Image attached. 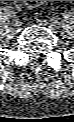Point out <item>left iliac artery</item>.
Returning a JSON list of instances; mask_svg holds the SVG:
<instances>
[{
  "label": "left iliac artery",
  "mask_w": 74,
  "mask_h": 122,
  "mask_svg": "<svg viewBox=\"0 0 74 122\" xmlns=\"http://www.w3.org/2000/svg\"><path fill=\"white\" fill-rule=\"evenodd\" d=\"M54 23H56L58 25V27H59V25H60L61 22L56 19V20H54Z\"/></svg>",
  "instance_id": "1"
}]
</instances>
